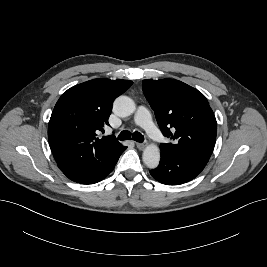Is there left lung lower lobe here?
Here are the masks:
<instances>
[{"mask_svg":"<svg viewBox=\"0 0 267 267\" xmlns=\"http://www.w3.org/2000/svg\"><path fill=\"white\" fill-rule=\"evenodd\" d=\"M206 164L195 157L161 151L160 165L150 174L160 183L179 185L197 177Z\"/></svg>","mask_w":267,"mask_h":267,"instance_id":"1","label":"left lung lower lobe"}]
</instances>
